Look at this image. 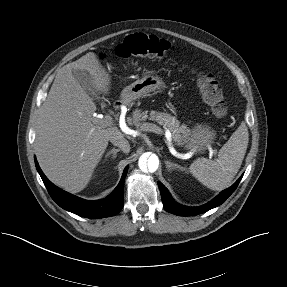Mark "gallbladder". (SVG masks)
I'll return each instance as SVG.
<instances>
[{
    "label": "gallbladder",
    "instance_id": "bac80fb5",
    "mask_svg": "<svg viewBox=\"0 0 287 287\" xmlns=\"http://www.w3.org/2000/svg\"><path fill=\"white\" fill-rule=\"evenodd\" d=\"M73 76L85 92L92 99H100V92L95 88V85L92 82V77L85 70H74Z\"/></svg>",
    "mask_w": 287,
    "mask_h": 287
}]
</instances>
